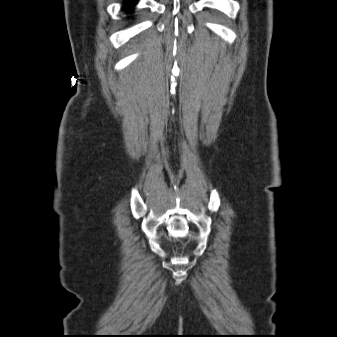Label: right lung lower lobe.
I'll use <instances>...</instances> for the list:
<instances>
[{
    "label": "right lung lower lobe",
    "instance_id": "obj_1",
    "mask_svg": "<svg viewBox=\"0 0 337 337\" xmlns=\"http://www.w3.org/2000/svg\"><path fill=\"white\" fill-rule=\"evenodd\" d=\"M137 3V0H125V9L128 11H132L133 6Z\"/></svg>",
    "mask_w": 337,
    "mask_h": 337
}]
</instances>
